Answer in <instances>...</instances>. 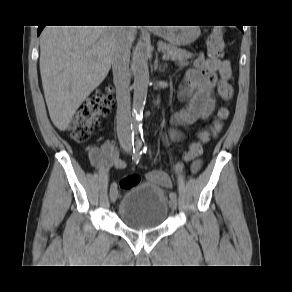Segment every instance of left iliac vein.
I'll list each match as a JSON object with an SVG mask.
<instances>
[{
	"mask_svg": "<svg viewBox=\"0 0 292 292\" xmlns=\"http://www.w3.org/2000/svg\"><path fill=\"white\" fill-rule=\"evenodd\" d=\"M169 206L172 210H175L177 207V201L176 200H170Z\"/></svg>",
	"mask_w": 292,
	"mask_h": 292,
	"instance_id": "1",
	"label": "left iliac vein"
}]
</instances>
